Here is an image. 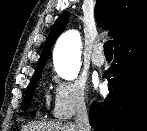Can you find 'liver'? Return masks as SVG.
Wrapping results in <instances>:
<instances>
[{
	"mask_svg": "<svg viewBox=\"0 0 147 131\" xmlns=\"http://www.w3.org/2000/svg\"><path fill=\"white\" fill-rule=\"evenodd\" d=\"M22 131H79L76 124L30 122L22 127Z\"/></svg>",
	"mask_w": 147,
	"mask_h": 131,
	"instance_id": "6515ba94",
	"label": "liver"
}]
</instances>
